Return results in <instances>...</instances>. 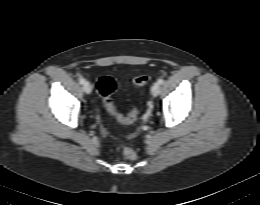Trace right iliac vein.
<instances>
[{"mask_svg":"<svg viewBox=\"0 0 260 205\" xmlns=\"http://www.w3.org/2000/svg\"><path fill=\"white\" fill-rule=\"evenodd\" d=\"M83 89L86 94H90L92 91L91 84L88 81H85V83L83 84Z\"/></svg>","mask_w":260,"mask_h":205,"instance_id":"1","label":"right iliac vein"}]
</instances>
